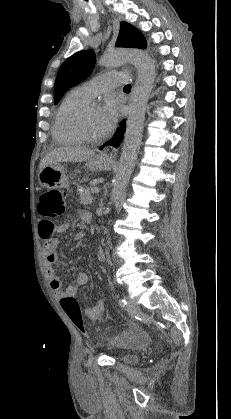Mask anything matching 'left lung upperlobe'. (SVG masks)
Masks as SVG:
<instances>
[{"label": "left lung upper lobe", "mask_w": 231, "mask_h": 419, "mask_svg": "<svg viewBox=\"0 0 231 419\" xmlns=\"http://www.w3.org/2000/svg\"><path fill=\"white\" fill-rule=\"evenodd\" d=\"M116 46L143 49L146 48V40L138 29L122 22ZM95 58V53L92 50L79 51L61 65L54 87L56 104L70 87L85 80L92 73Z\"/></svg>", "instance_id": "1"}]
</instances>
